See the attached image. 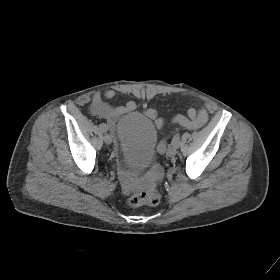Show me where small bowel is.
I'll return each instance as SVG.
<instances>
[{
  "label": "small bowel",
  "instance_id": "obj_1",
  "mask_svg": "<svg viewBox=\"0 0 280 280\" xmlns=\"http://www.w3.org/2000/svg\"><path fill=\"white\" fill-rule=\"evenodd\" d=\"M116 91L113 89L107 90L104 93L97 92L94 94L89 111L93 116L105 119L109 128H113L117 119L133 111L136 108L134 101H128L121 106H112L107 100H111L116 96ZM145 115L155 121L158 128H163L165 121L158 117L157 111L153 108H147ZM208 111L206 108L191 107L188 109L186 115H177L172 119L173 124L180 125L189 130L199 129L208 121ZM166 148V142L163 140L159 145V150L162 152ZM126 191L131 190L135 185V178L129 173L123 171L122 173Z\"/></svg>",
  "mask_w": 280,
  "mask_h": 280
}]
</instances>
